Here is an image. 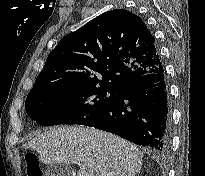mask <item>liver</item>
Returning a JSON list of instances; mask_svg holds the SVG:
<instances>
[{"label": "liver", "instance_id": "liver-1", "mask_svg": "<svg viewBox=\"0 0 205 176\" xmlns=\"http://www.w3.org/2000/svg\"><path fill=\"white\" fill-rule=\"evenodd\" d=\"M25 148L45 164L84 163L77 176H135L143 153L132 143L105 131L61 126L38 134Z\"/></svg>", "mask_w": 205, "mask_h": 176}]
</instances>
